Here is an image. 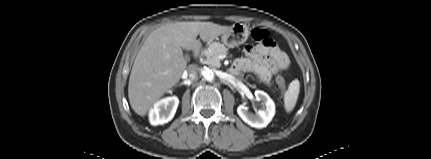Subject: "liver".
Instances as JSON below:
<instances>
[{
  "mask_svg": "<svg viewBox=\"0 0 431 159\" xmlns=\"http://www.w3.org/2000/svg\"><path fill=\"white\" fill-rule=\"evenodd\" d=\"M229 26L213 22H175L153 30L134 61L129 78L131 108L145 116L152 106L180 80L187 67L182 49L193 50L227 32Z\"/></svg>",
  "mask_w": 431,
  "mask_h": 159,
  "instance_id": "obj_1",
  "label": "liver"
}]
</instances>
